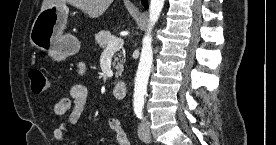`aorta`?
<instances>
[{"label":"aorta","instance_id":"obj_1","mask_svg":"<svg viewBox=\"0 0 276 145\" xmlns=\"http://www.w3.org/2000/svg\"><path fill=\"white\" fill-rule=\"evenodd\" d=\"M165 0H150L148 30L142 40L140 62L135 78L133 103L135 107L143 106L147 92L148 79L153 63L151 31L159 19Z\"/></svg>","mask_w":276,"mask_h":145}]
</instances>
